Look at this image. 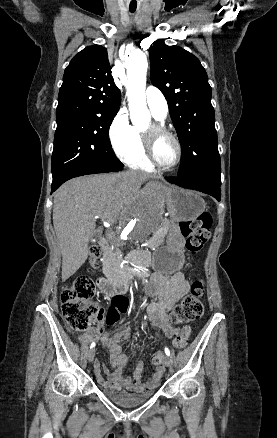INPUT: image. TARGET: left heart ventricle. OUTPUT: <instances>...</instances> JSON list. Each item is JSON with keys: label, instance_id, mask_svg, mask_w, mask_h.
I'll return each mask as SVG.
<instances>
[{"label": "left heart ventricle", "instance_id": "left-heart-ventricle-1", "mask_svg": "<svg viewBox=\"0 0 277 438\" xmlns=\"http://www.w3.org/2000/svg\"><path fill=\"white\" fill-rule=\"evenodd\" d=\"M149 129L150 126L144 132H147ZM156 151L157 157L162 164L170 166L175 162L177 156V147L171 138L167 136L161 137L158 140Z\"/></svg>", "mask_w": 277, "mask_h": 438}]
</instances>
